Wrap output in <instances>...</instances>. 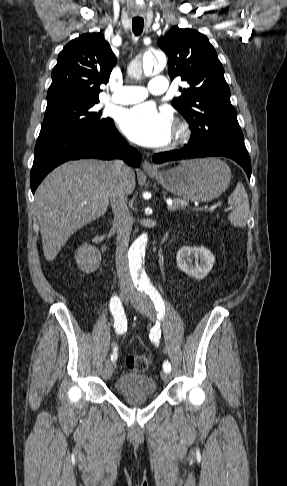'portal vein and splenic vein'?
Listing matches in <instances>:
<instances>
[{
	"label": "portal vein and splenic vein",
	"mask_w": 287,
	"mask_h": 486,
	"mask_svg": "<svg viewBox=\"0 0 287 486\" xmlns=\"http://www.w3.org/2000/svg\"><path fill=\"white\" fill-rule=\"evenodd\" d=\"M167 205L168 207H172L173 206V201L172 200H167ZM194 210L198 211V210H201V208H195Z\"/></svg>",
	"instance_id": "1"
}]
</instances>
